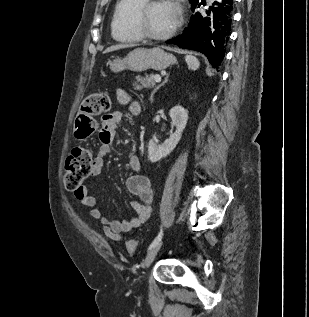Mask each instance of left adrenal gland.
Returning a JSON list of instances; mask_svg holds the SVG:
<instances>
[{"mask_svg": "<svg viewBox=\"0 0 309 317\" xmlns=\"http://www.w3.org/2000/svg\"><path fill=\"white\" fill-rule=\"evenodd\" d=\"M168 78H169V74L166 76L165 80L153 90V92H152V94H151V100H153V96H154L155 92H156L161 86H163L165 83H167Z\"/></svg>", "mask_w": 309, "mask_h": 317, "instance_id": "left-adrenal-gland-1", "label": "left adrenal gland"}]
</instances>
